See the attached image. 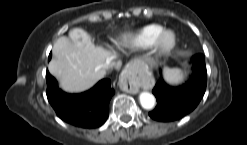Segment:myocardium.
<instances>
[{
	"label": "myocardium",
	"instance_id": "myocardium-1",
	"mask_svg": "<svg viewBox=\"0 0 247 145\" xmlns=\"http://www.w3.org/2000/svg\"><path fill=\"white\" fill-rule=\"evenodd\" d=\"M177 44V34L173 29L163 28L155 37L152 43L153 51L164 56L169 54Z\"/></svg>",
	"mask_w": 247,
	"mask_h": 145
}]
</instances>
